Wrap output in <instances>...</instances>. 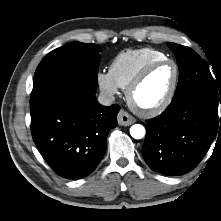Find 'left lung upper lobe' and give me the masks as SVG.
<instances>
[{
  "label": "left lung upper lobe",
  "instance_id": "1",
  "mask_svg": "<svg viewBox=\"0 0 221 221\" xmlns=\"http://www.w3.org/2000/svg\"><path fill=\"white\" fill-rule=\"evenodd\" d=\"M175 53L179 67V80L173 100L187 94H200L221 103V87L204 65L201 57L192 49L175 43H167Z\"/></svg>",
  "mask_w": 221,
  "mask_h": 221
}]
</instances>
